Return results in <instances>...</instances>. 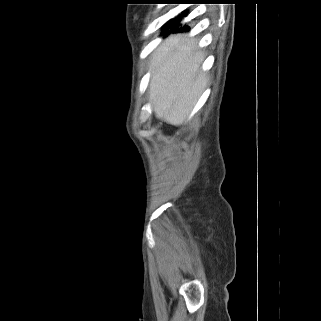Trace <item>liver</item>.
<instances>
[{
	"label": "liver",
	"instance_id": "6515ba94",
	"mask_svg": "<svg viewBox=\"0 0 321 321\" xmlns=\"http://www.w3.org/2000/svg\"><path fill=\"white\" fill-rule=\"evenodd\" d=\"M196 41H182L181 35L166 39L153 53L154 69L150 99L156 117L172 125H180L204 91L207 78L199 73L204 53L195 50Z\"/></svg>",
	"mask_w": 321,
	"mask_h": 321
}]
</instances>
